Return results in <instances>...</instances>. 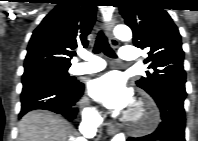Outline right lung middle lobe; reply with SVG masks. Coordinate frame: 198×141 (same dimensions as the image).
Listing matches in <instances>:
<instances>
[{"label":"right lung middle lobe","mask_w":198,"mask_h":141,"mask_svg":"<svg viewBox=\"0 0 198 141\" xmlns=\"http://www.w3.org/2000/svg\"><path fill=\"white\" fill-rule=\"evenodd\" d=\"M68 68H40L24 72L23 85L30 83H52L64 88L74 86L78 81H73L67 73Z\"/></svg>","instance_id":"obj_1"}]
</instances>
